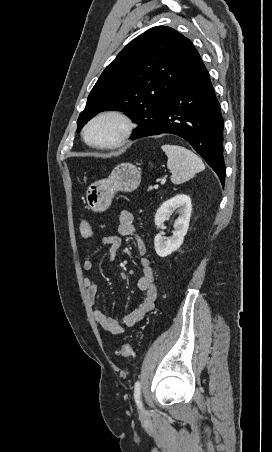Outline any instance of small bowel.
I'll list each match as a JSON object with an SVG mask.
<instances>
[{
    "instance_id": "1",
    "label": "small bowel",
    "mask_w": 272,
    "mask_h": 452,
    "mask_svg": "<svg viewBox=\"0 0 272 452\" xmlns=\"http://www.w3.org/2000/svg\"><path fill=\"white\" fill-rule=\"evenodd\" d=\"M118 233L121 236H134L135 246L139 255L141 266V276L137 281V287L144 293L143 299L138 305L126 313L120 320L110 317L101 309L94 310V318L97 324L110 334H122L126 329L133 327L148 312H150L156 304L157 288L154 285V273L148 258L146 257V245L144 241L137 235L134 226V216L129 211H121L119 214ZM102 244L107 248L108 258L114 260L118 249L122 244V240L116 235H107L102 239ZM93 267V261L90 258L82 262V269L89 271ZM83 284L86 288L88 302L91 306L96 304V296L98 292L97 284L91 278H84Z\"/></svg>"
}]
</instances>
